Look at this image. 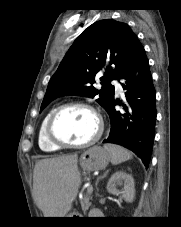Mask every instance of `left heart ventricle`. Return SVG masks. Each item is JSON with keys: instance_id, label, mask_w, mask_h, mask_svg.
<instances>
[{"instance_id": "obj_1", "label": "left heart ventricle", "mask_w": 181, "mask_h": 227, "mask_svg": "<svg viewBox=\"0 0 181 227\" xmlns=\"http://www.w3.org/2000/svg\"><path fill=\"white\" fill-rule=\"evenodd\" d=\"M97 123L86 109L72 107L63 110L55 120L54 132L57 137L69 143H82L92 138Z\"/></svg>"}]
</instances>
